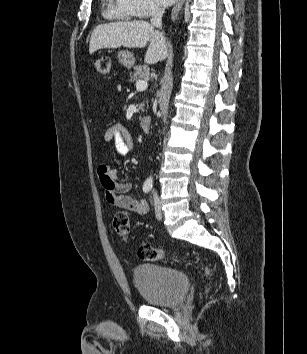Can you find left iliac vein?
I'll use <instances>...</instances> for the list:
<instances>
[{"mask_svg": "<svg viewBox=\"0 0 307 354\" xmlns=\"http://www.w3.org/2000/svg\"><path fill=\"white\" fill-rule=\"evenodd\" d=\"M154 206H155L156 217L158 220H161L162 219V209H161V204H160L159 199L155 200Z\"/></svg>", "mask_w": 307, "mask_h": 354, "instance_id": "1", "label": "left iliac vein"}]
</instances>
